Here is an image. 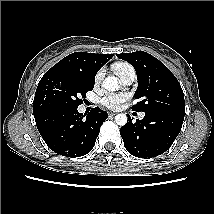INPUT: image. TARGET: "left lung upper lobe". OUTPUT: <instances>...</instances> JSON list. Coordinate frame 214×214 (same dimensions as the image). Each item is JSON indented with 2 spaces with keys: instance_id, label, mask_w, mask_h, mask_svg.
<instances>
[{
  "instance_id": "5c2ea615",
  "label": "left lung upper lobe",
  "mask_w": 214,
  "mask_h": 214,
  "mask_svg": "<svg viewBox=\"0 0 214 214\" xmlns=\"http://www.w3.org/2000/svg\"><path fill=\"white\" fill-rule=\"evenodd\" d=\"M117 57L129 62L137 72L138 87L134 97L139 102L132 110L185 114L180 83L161 61L143 51L121 53Z\"/></svg>"
}]
</instances>
